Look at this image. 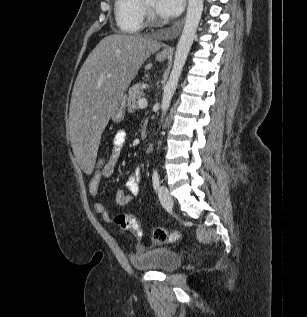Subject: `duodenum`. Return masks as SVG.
I'll list each match as a JSON object with an SVG mask.
<instances>
[{"label": "duodenum", "mask_w": 307, "mask_h": 317, "mask_svg": "<svg viewBox=\"0 0 307 317\" xmlns=\"http://www.w3.org/2000/svg\"><path fill=\"white\" fill-rule=\"evenodd\" d=\"M146 135H147V125H146V124H143V125L141 126V137H142V138H145Z\"/></svg>", "instance_id": "1"}]
</instances>
